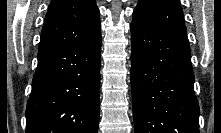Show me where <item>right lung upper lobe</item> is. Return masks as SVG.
<instances>
[{
    "label": "right lung upper lobe",
    "mask_w": 221,
    "mask_h": 133,
    "mask_svg": "<svg viewBox=\"0 0 221 133\" xmlns=\"http://www.w3.org/2000/svg\"><path fill=\"white\" fill-rule=\"evenodd\" d=\"M101 30L95 0H52L45 16L39 50L80 45Z\"/></svg>",
    "instance_id": "obj_1"
}]
</instances>
